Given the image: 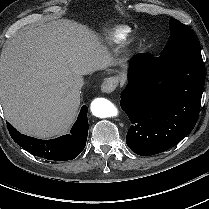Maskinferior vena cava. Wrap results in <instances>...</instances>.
I'll return each mask as SVG.
<instances>
[{
    "mask_svg": "<svg viewBox=\"0 0 209 209\" xmlns=\"http://www.w3.org/2000/svg\"><path fill=\"white\" fill-rule=\"evenodd\" d=\"M84 79L83 77H78L77 79L74 80L73 82V87L76 90H80L82 88V86L84 85Z\"/></svg>",
    "mask_w": 209,
    "mask_h": 209,
    "instance_id": "602c4592",
    "label": "inferior vena cava"
}]
</instances>
